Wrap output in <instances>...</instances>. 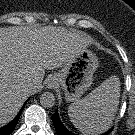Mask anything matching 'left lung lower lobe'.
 Returning a JSON list of instances; mask_svg holds the SVG:
<instances>
[{"instance_id":"obj_1","label":"left lung lower lobe","mask_w":135,"mask_h":135,"mask_svg":"<svg viewBox=\"0 0 135 135\" xmlns=\"http://www.w3.org/2000/svg\"><path fill=\"white\" fill-rule=\"evenodd\" d=\"M52 121L55 126L57 135H75L64 127V125L60 121L57 111L55 112V114L52 115ZM111 131L112 129H110L109 131L105 132L102 135H108Z\"/></svg>"}]
</instances>
